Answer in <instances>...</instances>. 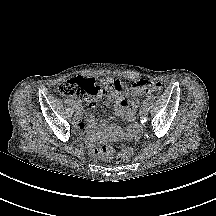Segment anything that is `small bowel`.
<instances>
[{"instance_id": "1", "label": "small bowel", "mask_w": 216, "mask_h": 216, "mask_svg": "<svg viewBox=\"0 0 216 216\" xmlns=\"http://www.w3.org/2000/svg\"><path fill=\"white\" fill-rule=\"evenodd\" d=\"M104 94L114 105L116 116L122 118L126 123L124 129L112 122V119L96 121L89 119L84 124L80 116H75L74 127L79 133H84L91 146H96L108 141L122 140L134 137L138 131L136 123V110L139 105V93L134 87L129 88L123 82L113 78L105 77L102 80ZM94 106V102L90 103Z\"/></svg>"}]
</instances>
